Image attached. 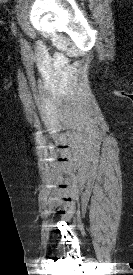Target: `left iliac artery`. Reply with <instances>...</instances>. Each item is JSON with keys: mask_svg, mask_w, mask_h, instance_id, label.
<instances>
[{"mask_svg": "<svg viewBox=\"0 0 133 275\" xmlns=\"http://www.w3.org/2000/svg\"><path fill=\"white\" fill-rule=\"evenodd\" d=\"M12 27L15 29V24L14 23H12ZM21 41H23V39H21Z\"/></svg>", "mask_w": 133, "mask_h": 275, "instance_id": "obj_1", "label": "left iliac artery"}]
</instances>
